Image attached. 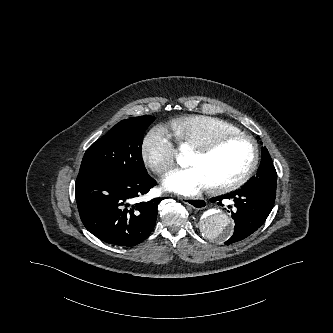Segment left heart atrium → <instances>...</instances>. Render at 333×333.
<instances>
[{
    "label": "left heart atrium",
    "instance_id": "1",
    "mask_svg": "<svg viewBox=\"0 0 333 333\" xmlns=\"http://www.w3.org/2000/svg\"><path fill=\"white\" fill-rule=\"evenodd\" d=\"M163 186L172 192L193 196L210 187V183L203 172L197 167L174 170L163 179Z\"/></svg>",
    "mask_w": 333,
    "mask_h": 333
}]
</instances>
